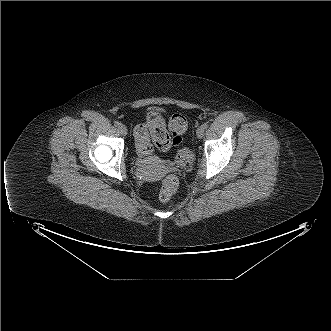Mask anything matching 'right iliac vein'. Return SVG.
Instances as JSON below:
<instances>
[{"label":"right iliac vein","mask_w":331,"mask_h":331,"mask_svg":"<svg viewBox=\"0 0 331 331\" xmlns=\"http://www.w3.org/2000/svg\"><path fill=\"white\" fill-rule=\"evenodd\" d=\"M118 130H119V132H120L121 135H123V136H126L127 135L128 130H127V128H126L125 125L120 124L118 126Z\"/></svg>","instance_id":"right-iliac-vein-1"}]
</instances>
